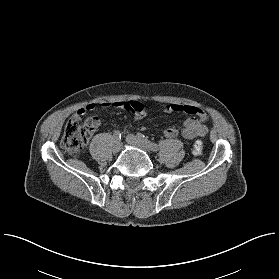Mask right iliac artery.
Instances as JSON below:
<instances>
[{"instance_id":"1","label":"right iliac artery","mask_w":279,"mask_h":279,"mask_svg":"<svg viewBox=\"0 0 279 279\" xmlns=\"http://www.w3.org/2000/svg\"><path fill=\"white\" fill-rule=\"evenodd\" d=\"M113 137H114V142L120 141L121 140V133H120V131L119 130L115 131Z\"/></svg>"}]
</instances>
